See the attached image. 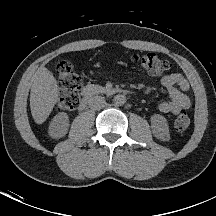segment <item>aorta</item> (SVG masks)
<instances>
[{
	"instance_id": "762f6f07",
	"label": "aorta",
	"mask_w": 216,
	"mask_h": 216,
	"mask_svg": "<svg viewBox=\"0 0 216 216\" xmlns=\"http://www.w3.org/2000/svg\"><path fill=\"white\" fill-rule=\"evenodd\" d=\"M114 103L116 105H124L126 103V97L122 94H117L114 99H113Z\"/></svg>"
}]
</instances>
